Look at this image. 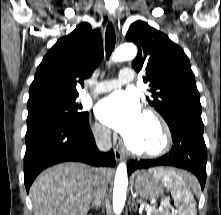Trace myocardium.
Wrapping results in <instances>:
<instances>
[{
	"instance_id": "obj_1",
	"label": "myocardium",
	"mask_w": 221,
	"mask_h": 215,
	"mask_svg": "<svg viewBox=\"0 0 221 215\" xmlns=\"http://www.w3.org/2000/svg\"><path fill=\"white\" fill-rule=\"evenodd\" d=\"M143 116L150 119L157 126L160 133L159 145L152 150L138 149L132 146L130 142L124 138L123 144L125 148L128 152L137 157L156 158L164 155L169 151L172 144V135L166 120L162 117L161 114L153 109H146L143 112Z\"/></svg>"
}]
</instances>
